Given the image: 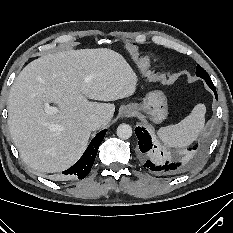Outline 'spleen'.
<instances>
[{"mask_svg":"<svg viewBox=\"0 0 233 233\" xmlns=\"http://www.w3.org/2000/svg\"><path fill=\"white\" fill-rule=\"evenodd\" d=\"M206 107L197 104L181 122L158 130L159 138L168 146L183 148L195 141L204 129Z\"/></svg>","mask_w":233,"mask_h":233,"instance_id":"obj_1","label":"spleen"}]
</instances>
